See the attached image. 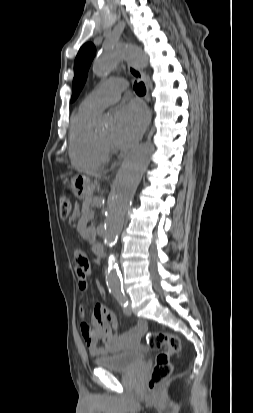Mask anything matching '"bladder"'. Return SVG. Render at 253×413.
<instances>
[{"label":"bladder","instance_id":"1","mask_svg":"<svg viewBox=\"0 0 253 413\" xmlns=\"http://www.w3.org/2000/svg\"><path fill=\"white\" fill-rule=\"evenodd\" d=\"M145 360V351L142 348H135L111 355L101 356L95 359V364L99 367L115 370L129 371L141 365Z\"/></svg>","mask_w":253,"mask_h":413}]
</instances>
